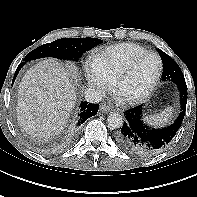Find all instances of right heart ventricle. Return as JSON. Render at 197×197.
Returning <instances> with one entry per match:
<instances>
[{
  "label": "right heart ventricle",
  "mask_w": 197,
  "mask_h": 197,
  "mask_svg": "<svg viewBox=\"0 0 197 197\" xmlns=\"http://www.w3.org/2000/svg\"><path fill=\"white\" fill-rule=\"evenodd\" d=\"M147 50L134 43H120L96 52L91 59L92 67L110 80H115L120 71L137 55Z\"/></svg>",
  "instance_id": "obj_1"
}]
</instances>
